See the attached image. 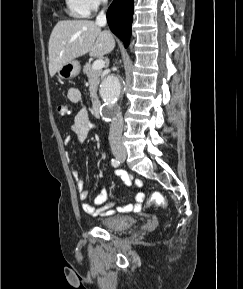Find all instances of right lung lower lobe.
I'll return each instance as SVG.
<instances>
[{"instance_id": "98d812e1", "label": "right lung lower lobe", "mask_w": 243, "mask_h": 289, "mask_svg": "<svg viewBox=\"0 0 243 289\" xmlns=\"http://www.w3.org/2000/svg\"><path fill=\"white\" fill-rule=\"evenodd\" d=\"M133 19V0H114L107 11V22L111 31L129 45Z\"/></svg>"}]
</instances>
